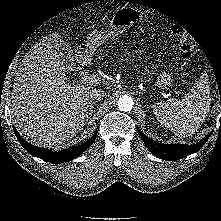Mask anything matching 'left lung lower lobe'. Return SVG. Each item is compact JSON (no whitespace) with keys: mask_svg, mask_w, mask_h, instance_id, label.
Here are the masks:
<instances>
[{"mask_svg":"<svg viewBox=\"0 0 221 221\" xmlns=\"http://www.w3.org/2000/svg\"><path fill=\"white\" fill-rule=\"evenodd\" d=\"M137 130L138 134L141 136L142 141L152 152V154L163 160H179L197 152L207 142L210 135L212 134V132H210L201 141L193 145L161 144L145 136L139 129Z\"/></svg>","mask_w":221,"mask_h":221,"instance_id":"1","label":"left lung lower lobe"}]
</instances>
